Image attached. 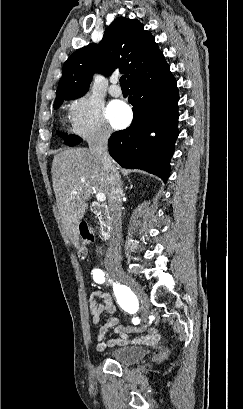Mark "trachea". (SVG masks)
I'll use <instances>...</instances> for the list:
<instances>
[{
  "mask_svg": "<svg viewBox=\"0 0 243 409\" xmlns=\"http://www.w3.org/2000/svg\"><path fill=\"white\" fill-rule=\"evenodd\" d=\"M120 85L122 87H128L125 75H122L120 78Z\"/></svg>",
  "mask_w": 243,
  "mask_h": 409,
  "instance_id": "3493384b",
  "label": "trachea"
}]
</instances>
